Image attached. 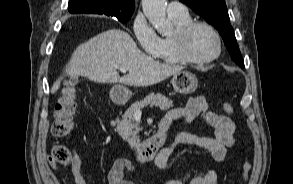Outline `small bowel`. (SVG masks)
<instances>
[{"label": "small bowel", "instance_id": "obj_1", "mask_svg": "<svg viewBox=\"0 0 293 184\" xmlns=\"http://www.w3.org/2000/svg\"><path fill=\"white\" fill-rule=\"evenodd\" d=\"M198 117H202L204 122L213 128L214 136L207 137L193 133H180L165 147L155 158L154 162L159 171H165L168 167L169 158L173 151L181 145H194L209 151L213 159L223 162L229 149L234 145L235 124L227 116L217 114L209 110L208 103L203 96L190 98L184 107H176L169 110L163 119L172 121H184L191 123ZM70 174L75 184H87L81 174L82 159L78 152H74L70 162ZM58 169V164L50 163ZM133 171L132 163L126 158L116 159L107 172L108 184H138L128 178ZM159 184H218V173L211 169L205 173L195 175L188 180H177L164 178Z\"/></svg>", "mask_w": 293, "mask_h": 184}]
</instances>
